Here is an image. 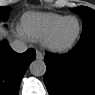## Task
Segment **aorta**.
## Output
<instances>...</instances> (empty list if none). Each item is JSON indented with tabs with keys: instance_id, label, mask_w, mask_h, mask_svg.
Instances as JSON below:
<instances>
[{
	"instance_id": "762f6f07",
	"label": "aorta",
	"mask_w": 95,
	"mask_h": 95,
	"mask_svg": "<svg viewBox=\"0 0 95 95\" xmlns=\"http://www.w3.org/2000/svg\"><path fill=\"white\" fill-rule=\"evenodd\" d=\"M30 72L34 76H43L46 72V64L42 60H34L29 66Z\"/></svg>"
}]
</instances>
